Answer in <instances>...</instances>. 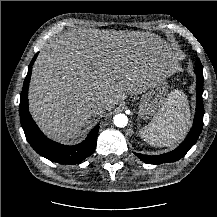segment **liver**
I'll return each instance as SVG.
<instances>
[{
  "mask_svg": "<svg viewBox=\"0 0 217 217\" xmlns=\"http://www.w3.org/2000/svg\"><path fill=\"white\" fill-rule=\"evenodd\" d=\"M136 45L98 30L52 37L33 67L29 90L31 110L40 126L54 137L69 138L89 123L90 103L104 102V109L110 110L125 94L138 95L156 83L137 67ZM167 60L152 63L164 71L172 62Z\"/></svg>",
  "mask_w": 217,
  "mask_h": 217,
  "instance_id": "liver-1",
  "label": "liver"
}]
</instances>
